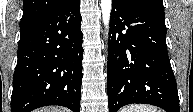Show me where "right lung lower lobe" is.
Returning <instances> with one entry per match:
<instances>
[{
  "instance_id": "obj_1",
  "label": "right lung lower lobe",
  "mask_w": 193,
  "mask_h": 112,
  "mask_svg": "<svg viewBox=\"0 0 193 112\" xmlns=\"http://www.w3.org/2000/svg\"><path fill=\"white\" fill-rule=\"evenodd\" d=\"M80 0L20 27L11 112L60 105L80 112L83 48Z\"/></svg>"
}]
</instances>
